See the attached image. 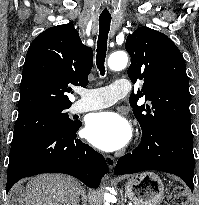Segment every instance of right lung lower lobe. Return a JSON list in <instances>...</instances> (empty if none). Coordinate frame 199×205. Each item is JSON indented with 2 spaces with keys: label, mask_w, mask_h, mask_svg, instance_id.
<instances>
[{
  "label": "right lung lower lobe",
  "mask_w": 199,
  "mask_h": 205,
  "mask_svg": "<svg viewBox=\"0 0 199 205\" xmlns=\"http://www.w3.org/2000/svg\"><path fill=\"white\" fill-rule=\"evenodd\" d=\"M81 127L41 134L25 143L11 146L6 193L20 179L41 173L74 176L91 188H97L108 172L104 157L76 138Z\"/></svg>",
  "instance_id": "right-lung-lower-lobe-1"
}]
</instances>
